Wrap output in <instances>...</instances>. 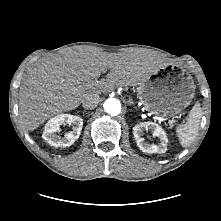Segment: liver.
I'll list each match as a JSON object with an SVG mask.
<instances>
[{
    "label": "liver",
    "mask_w": 221,
    "mask_h": 221,
    "mask_svg": "<svg viewBox=\"0 0 221 221\" xmlns=\"http://www.w3.org/2000/svg\"><path fill=\"white\" fill-rule=\"evenodd\" d=\"M158 69L154 57L138 52L63 51L28 72L19 92L20 119L33 131L54 115L77 108L89 95L134 86ZM108 70L106 79L98 81Z\"/></svg>",
    "instance_id": "6515ba94"
}]
</instances>
